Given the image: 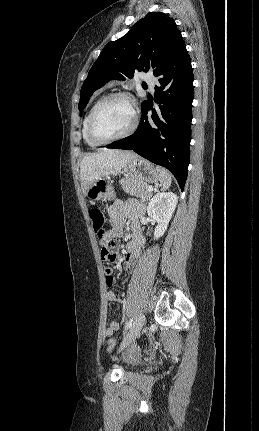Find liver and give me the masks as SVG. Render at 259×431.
<instances>
[{"mask_svg": "<svg viewBox=\"0 0 259 431\" xmlns=\"http://www.w3.org/2000/svg\"><path fill=\"white\" fill-rule=\"evenodd\" d=\"M138 157L132 151L117 149H101L96 153L86 155L80 163V179L83 194L97 180L110 174L120 173L125 165Z\"/></svg>", "mask_w": 259, "mask_h": 431, "instance_id": "6515ba94", "label": "liver"}]
</instances>
